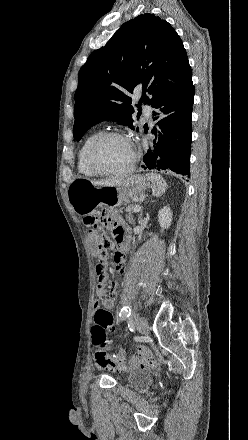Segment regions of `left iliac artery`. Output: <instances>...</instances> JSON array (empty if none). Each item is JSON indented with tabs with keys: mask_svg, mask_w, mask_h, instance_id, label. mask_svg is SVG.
<instances>
[{
	"mask_svg": "<svg viewBox=\"0 0 248 440\" xmlns=\"http://www.w3.org/2000/svg\"><path fill=\"white\" fill-rule=\"evenodd\" d=\"M131 314H132V310H131V308L129 306H125V307H123L121 309L120 317L122 319H128L129 320V325L128 326L130 327V330L133 329Z\"/></svg>",
	"mask_w": 248,
	"mask_h": 440,
	"instance_id": "1",
	"label": "left iliac artery"
}]
</instances>
